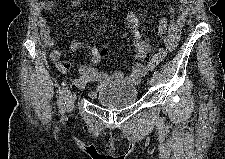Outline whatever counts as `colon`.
Here are the masks:
<instances>
[{
  "mask_svg": "<svg viewBox=\"0 0 225 159\" xmlns=\"http://www.w3.org/2000/svg\"><path fill=\"white\" fill-rule=\"evenodd\" d=\"M168 49L167 48H162L157 54L153 56V58L149 61L148 63V68L153 69L156 66H158L162 60L164 59Z\"/></svg>",
  "mask_w": 225,
  "mask_h": 159,
  "instance_id": "obj_1",
  "label": "colon"
}]
</instances>
